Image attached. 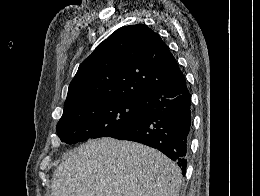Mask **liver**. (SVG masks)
<instances>
[{
  "mask_svg": "<svg viewBox=\"0 0 260 196\" xmlns=\"http://www.w3.org/2000/svg\"><path fill=\"white\" fill-rule=\"evenodd\" d=\"M51 184V196H179L181 170L143 144L97 138L72 150Z\"/></svg>",
  "mask_w": 260,
  "mask_h": 196,
  "instance_id": "1",
  "label": "liver"
}]
</instances>
